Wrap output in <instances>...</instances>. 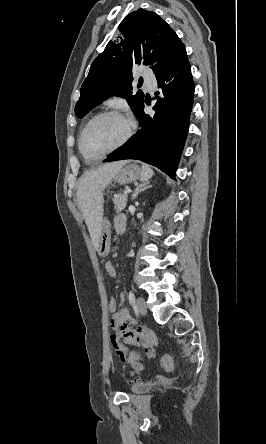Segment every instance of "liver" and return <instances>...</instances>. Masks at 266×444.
<instances>
[{
	"mask_svg": "<svg viewBox=\"0 0 266 444\" xmlns=\"http://www.w3.org/2000/svg\"><path fill=\"white\" fill-rule=\"evenodd\" d=\"M128 160L112 162L87 171L79 180L77 202L85 218L94 248L99 246L103 218V191Z\"/></svg>",
	"mask_w": 266,
	"mask_h": 444,
	"instance_id": "1",
	"label": "liver"
}]
</instances>
